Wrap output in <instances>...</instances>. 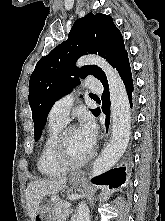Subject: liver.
<instances>
[{
  "label": "liver",
  "instance_id": "6515ba94",
  "mask_svg": "<svg viewBox=\"0 0 165 221\" xmlns=\"http://www.w3.org/2000/svg\"><path fill=\"white\" fill-rule=\"evenodd\" d=\"M68 178L41 179L31 182L26 189V205L29 216L34 221L44 196L56 194L62 190Z\"/></svg>",
  "mask_w": 165,
  "mask_h": 221
}]
</instances>
